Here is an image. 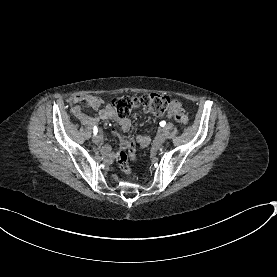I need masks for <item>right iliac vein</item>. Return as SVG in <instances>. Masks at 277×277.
<instances>
[{"label":"right iliac vein","mask_w":277,"mask_h":277,"mask_svg":"<svg viewBox=\"0 0 277 277\" xmlns=\"http://www.w3.org/2000/svg\"><path fill=\"white\" fill-rule=\"evenodd\" d=\"M100 141H101V138H100L99 135H94V136H93V142H94L95 144H99Z\"/></svg>","instance_id":"1"}]
</instances>
